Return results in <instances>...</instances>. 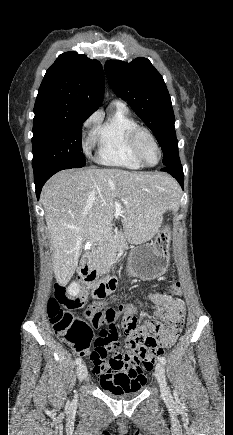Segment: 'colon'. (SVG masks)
I'll list each match as a JSON object with an SVG mask.
<instances>
[{
    "label": "colon",
    "instance_id": "colon-1",
    "mask_svg": "<svg viewBox=\"0 0 233 435\" xmlns=\"http://www.w3.org/2000/svg\"><path fill=\"white\" fill-rule=\"evenodd\" d=\"M95 275H81L78 279L82 285L92 284ZM174 292V290H171ZM96 306H88L85 311L86 319L75 315L72 310L83 308L84 302L78 296H69V287L65 282L55 284L54 293L48 300V318L54 333L60 341L72 346L80 355H89L93 364L106 363L113 355L116 345H110L101 335H95L94 330L105 327L112 322L117 312L113 307H106L107 301ZM66 304V308H61ZM121 325L127 338L124 359L121 365L126 369L135 366H144L152 371L156 359L163 354L164 349L171 344L172 337H165L162 342L156 338V330L152 326H139L136 324L135 311L122 307ZM115 390L126 393L133 390L136 384H131L125 374L114 378Z\"/></svg>",
    "mask_w": 233,
    "mask_h": 435
}]
</instances>
